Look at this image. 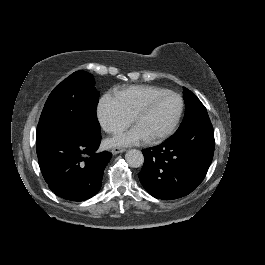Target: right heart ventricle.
<instances>
[{
    "label": "right heart ventricle",
    "instance_id": "obj_1",
    "mask_svg": "<svg viewBox=\"0 0 265 265\" xmlns=\"http://www.w3.org/2000/svg\"><path fill=\"white\" fill-rule=\"evenodd\" d=\"M160 88L149 85L128 86L115 94L124 111L133 117L141 103Z\"/></svg>",
    "mask_w": 265,
    "mask_h": 265
}]
</instances>
